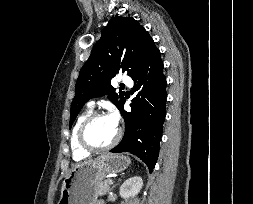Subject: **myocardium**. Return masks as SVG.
Segmentation results:
<instances>
[{
	"instance_id": "f54148a6",
	"label": "myocardium",
	"mask_w": 253,
	"mask_h": 204,
	"mask_svg": "<svg viewBox=\"0 0 253 204\" xmlns=\"http://www.w3.org/2000/svg\"><path fill=\"white\" fill-rule=\"evenodd\" d=\"M104 116H107L104 112H92L81 124L80 129H79V133H78V140H79L80 146L83 149H85L89 152H101V151H106V150L113 148L119 142V140L121 138V134H122V131L119 127H117V133H116L115 137L107 145L96 146V145L92 144L91 142H89V140L87 139V130H88L89 126L96 119L104 117Z\"/></svg>"
}]
</instances>
